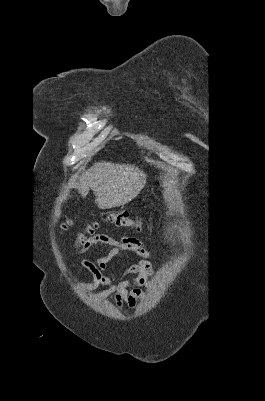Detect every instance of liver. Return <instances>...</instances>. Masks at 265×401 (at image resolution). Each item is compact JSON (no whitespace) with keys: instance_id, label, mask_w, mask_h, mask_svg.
Listing matches in <instances>:
<instances>
[{"instance_id":"6515ba94","label":"liver","mask_w":265,"mask_h":401,"mask_svg":"<svg viewBox=\"0 0 265 401\" xmlns=\"http://www.w3.org/2000/svg\"><path fill=\"white\" fill-rule=\"evenodd\" d=\"M146 174L134 164H114L95 162L79 176L77 188L81 196H86L90 188L97 194L98 209H112L130 203L145 186Z\"/></svg>"}]
</instances>
